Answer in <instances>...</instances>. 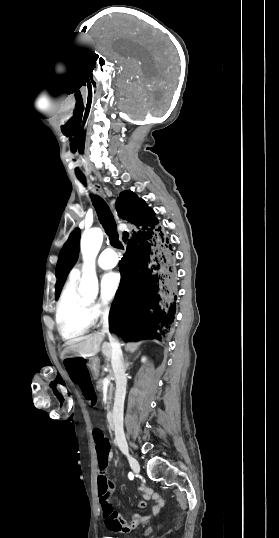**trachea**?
<instances>
[{
  "mask_svg": "<svg viewBox=\"0 0 279 538\" xmlns=\"http://www.w3.org/2000/svg\"><path fill=\"white\" fill-rule=\"evenodd\" d=\"M77 178L82 183L86 184V179L84 176H78ZM92 203L94 205L100 223L102 224L105 232L110 238L111 245L115 248L123 249V245L119 240V235L116 230L113 215L107 203L103 200V198L97 195L92 197Z\"/></svg>",
  "mask_w": 279,
  "mask_h": 538,
  "instance_id": "obj_1",
  "label": "trachea"
}]
</instances>
